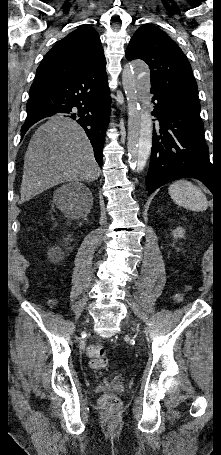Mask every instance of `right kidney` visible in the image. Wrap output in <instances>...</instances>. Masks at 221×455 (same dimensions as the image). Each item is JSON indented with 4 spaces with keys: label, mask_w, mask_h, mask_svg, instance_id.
Masks as SVG:
<instances>
[{
    "label": "right kidney",
    "mask_w": 221,
    "mask_h": 455,
    "mask_svg": "<svg viewBox=\"0 0 221 455\" xmlns=\"http://www.w3.org/2000/svg\"><path fill=\"white\" fill-rule=\"evenodd\" d=\"M50 255L53 256V257H60L61 256L60 249L52 248L51 251H50Z\"/></svg>",
    "instance_id": "right-kidney-1"
}]
</instances>
